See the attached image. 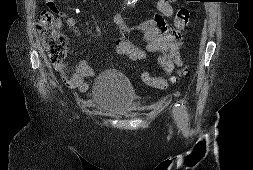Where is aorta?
Here are the masks:
<instances>
[{
  "label": "aorta",
  "instance_id": "aorta-1",
  "mask_svg": "<svg viewBox=\"0 0 253 170\" xmlns=\"http://www.w3.org/2000/svg\"><path fill=\"white\" fill-rule=\"evenodd\" d=\"M136 0H126L127 5H133Z\"/></svg>",
  "mask_w": 253,
  "mask_h": 170
}]
</instances>
